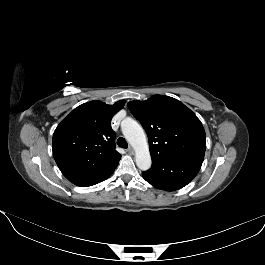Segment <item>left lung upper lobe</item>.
<instances>
[{"instance_id": "obj_1", "label": "left lung upper lobe", "mask_w": 265, "mask_h": 265, "mask_svg": "<svg viewBox=\"0 0 265 265\" xmlns=\"http://www.w3.org/2000/svg\"><path fill=\"white\" fill-rule=\"evenodd\" d=\"M128 107L148 135L152 162L205 153L201 121L177 99L154 95L146 101H131Z\"/></svg>"}]
</instances>
